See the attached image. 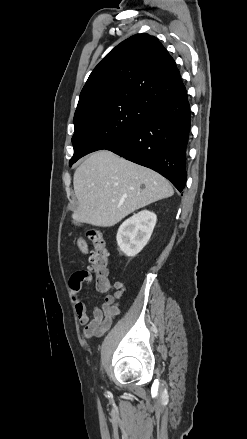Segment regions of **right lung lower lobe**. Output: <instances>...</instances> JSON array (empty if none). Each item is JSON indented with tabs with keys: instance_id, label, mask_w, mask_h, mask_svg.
Masks as SVG:
<instances>
[{
	"instance_id": "right-lung-lower-lobe-1",
	"label": "right lung lower lobe",
	"mask_w": 247,
	"mask_h": 439,
	"mask_svg": "<svg viewBox=\"0 0 247 439\" xmlns=\"http://www.w3.org/2000/svg\"><path fill=\"white\" fill-rule=\"evenodd\" d=\"M189 107L187 92L155 104L134 130L107 150L153 169L181 192L187 178Z\"/></svg>"
}]
</instances>
